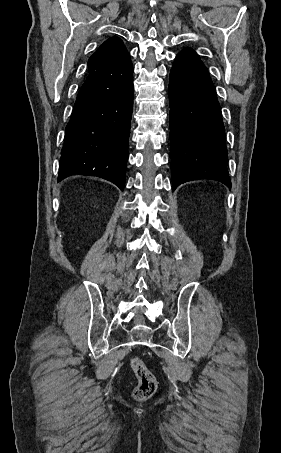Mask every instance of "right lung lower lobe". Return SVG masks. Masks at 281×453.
<instances>
[{
  "mask_svg": "<svg viewBox=\"0 0 281 453\" xmlns=\"http://www.w3.org/2000/svg\"><path fill=\"white\" fill-rule=\"evenodd\" d=\"M133 91L128 51L88 74L66 126L58 182L81 174L106 179L123 190Z\"/></svg>",
  "mask_w": 281,
  "mask_h": 453,
  "instance_id": "98d812e1",
  "label": "right lung lower lobe"
}]
</instances>
